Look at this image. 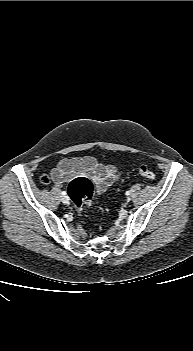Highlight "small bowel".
I'll return each mask as SVG.
<instances>
[{
    "label": "small bowel",
    "instance_id": "small-bowel-1",
    "mask_svg": "<svg viewBox=\"0 0 193 351\" xmlns=\"http://www.w3.org/2000/svg\"><path fill=\"white\" fill-rule=\"evenodd\" d=\"M78 175L92 180L98 193L112 186L119 176L115 166L105 165L93 157L65 158L51 172V177L58 186H62Z\"/></svg>",
    "mask_w": 193,
    "mask_h": 351
}]
</instances>
